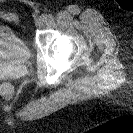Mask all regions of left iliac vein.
<instances>
[{
    "instance_id": "obj_1",
    "label": "left iliac vein",
    "mask_w": 133,
    "mask_h": 133,
    "mask_svg": "<svg viewBox=\"0 0 133 133\" xmlns=\"http://www.w3.org/2000/svg\"><path fill=\"white\" fill-rule=\"evenodd\" d=\"M44 19H43V17L41 16V17H39V18H37L36 20H35V25L37 26V27H41L43 24H44Z\"/></svg>"
}]
</instances>
